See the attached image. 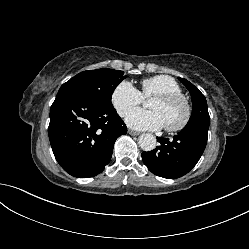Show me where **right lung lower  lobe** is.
<instances>
[{
    "mask_svg": "<svg viewBox=\"0 0 249 249\" xmlns=\"http://www.w3.org/2000/svg\"><path fill=\"white\" fill-rule=\"evenodd\" d=\"M127 127L114 107L71 91L58 92L50 109L48 134L54 156L70 175L88 178L110 162L116 139Z\"/></svg>",
    "mask_w": 249,
    "mask_h": 249,
    "instance_id": "obj_1",
    "label": "right lung lower lobe"
}]
</instances>
